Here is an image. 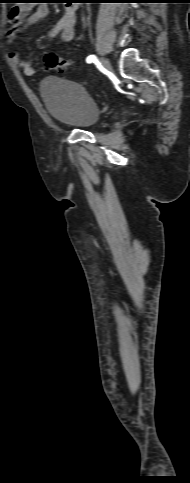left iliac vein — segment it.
<instances>
[{
  "mask_svg": "<svg viewBox=\"0 0 190 483\" xmlns=\"http://www.w3.org/2000/svg\"><path fill=\"white\" fill-rule=\"evenodd\" d=\"M101 64H102L104 69L110 70L111 65H110V62L107 58L103 57L102 60H101Z\"/></svg>",
  "mask_w": 190,
  "mask_h": 483,
  "instance_id": "left-iliac-vein-1",
  "label": "left iliac vein"
}]
</instances>
